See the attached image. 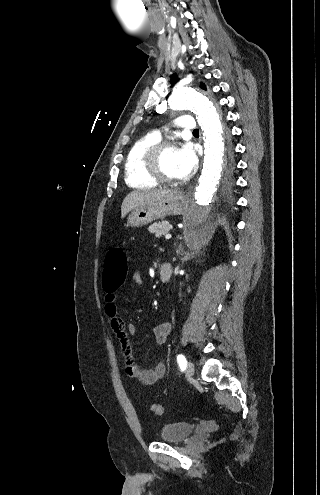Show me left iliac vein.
<instances>
[{
	"label": "left iliac vein",
	"mask_w": 320,
	"mask_h": 495,
	"mask_svg": "<svg viewBox=\"0 0 320 495\" xmlns=\"http://www.w3.org/2000/svg\"><path fill=\"white\" fill-rule=\"evenodd\" d=\"M194 374V365L192 362H188L186 367V375L191 377Z\"/></svg>",
	"instance_id": "4c4485c4"
}]
</instances>
